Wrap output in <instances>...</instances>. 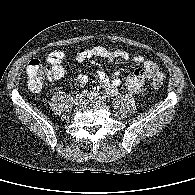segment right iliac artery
Returning a JSON list of instances; mask_svg holds the SVG:
<instances>
[{
	"instance_id": "1",
	"label": "right iliac artery",
	"mask_w": 195,
	"mask_h": 195,
	"mask_svg": "<svg viewBox=\"0 0 195 195\" xmlns=\"http://www.w3.org/2000/svg\"><path fill=\"white\" fill-rule=\"evenodd\" d=\"M87 90H84V91H82V94L81 95H84V94H87Z\"/></svg>"
}]
</instances>
